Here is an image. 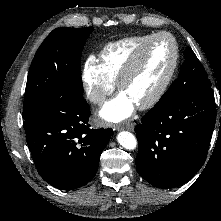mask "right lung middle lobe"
I'll use <instances>...</instances> for the list:
<instances>
[{
	"label": "right lung middle lobe",
	"mask_w": 221,
	"mask_h": 221,
	"mask_svg": "<svg viewBox=\"0 0 221 221\" xmlns=\"http://www.w3.org/2000/svg\"><path fill=\"white\" fill-rule=\"evenodd\" d=\"M93 27L56 28L38 48L28 73L23 118L65 94L82 95L81 52Z\"/></svg>",
	"instance_id": "dd1d6c3e"
}]
</instances>
